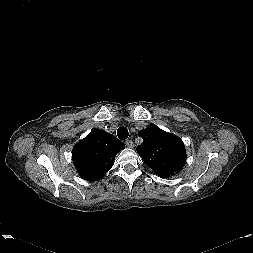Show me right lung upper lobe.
I'll use <instances>...</instances> for the list:
<instances>
[{"mask_svg": "<svg viewBox=\"0 0 253 253\" xmlns=\"http://www.w3.org/2000/svg\"><path fill=\"white\" fill-rule=\"evenodd\" d=\"M125 145L104 130H94L79 141L72 151V159L79 175L96 181L111 169L115 156Z\"/></svg>", "mask_w": 253, "mask_h": 253, "instance_id": "cb5924a9", "label": "right lung upper lobe"}]
</instances>
